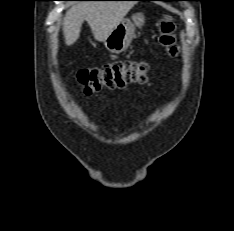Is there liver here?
<instances>
[{"label":"liver","instance_id":"6515ba94","mask_svg":"<svg viewBox=\"0 0 234 231\" xmlns=\"http://www.w3.org/2000/svg\"><path fill=\"white\" fill-rule=\"evenodd\" d=\"M133 6L132 1H86L74 4L63 19L66 45L70 46L78 40L84 21L89 24L95 40L104 41Z\"/></svg>","mask_w":234,"mask_h":231}]
</instances>
